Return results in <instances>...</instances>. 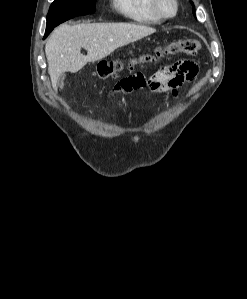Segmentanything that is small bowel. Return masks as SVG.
<instances>
[{"instance_id":"1","label":"small bowel","mask_w":247,"mask_h":299,"mask_svg":"<svg viewBox=\"0 0 247 299\" xmlns=\"http://www.w3.org/2000/svg\"><path fill=\"white\" fill-rule=\"evenodd\" d=\"M197 73L198 63L196 61L181 60L160 67L148 78L139 73L128 76L118 82L114 92H131L146 87L151 92L164 97L175 96L178 88L185 82L193 81Z\"/></svg>"}]
</instances>
